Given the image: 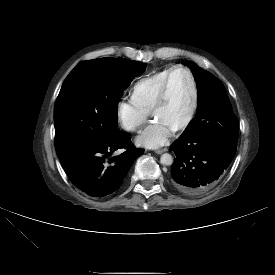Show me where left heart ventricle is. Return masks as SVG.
<instances>
[{"label": "left heart ventricle", "mask_w": 275, "mask_h": 275, "mask_svg": "<svg viewBox=\"0 0 275 275\" xmlns=\"http://www.w3.org/2000/svg\"><path fill=\"white\" fill-rule=\"evenodd\" d=\"M192 88L188 74L183 70L175 71L169 81V89L164 105L153 113L175 129L187 117L192 104Z\"/></svg>", "instance_id": "1"}]
</instances>
